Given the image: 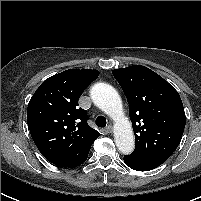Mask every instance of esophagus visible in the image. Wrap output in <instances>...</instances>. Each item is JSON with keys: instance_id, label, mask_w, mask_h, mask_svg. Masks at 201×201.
Masks as SVG:
<instances>
[{"instance_id": "esophagus-1", "label": "esophagus", "mask_w": 201, "mask_h": 201, "mask_svg": "<svg viewBox=\"0 0 201 201\" xmlns=\"http://www.w3.org/2000/svg\"><path fill=\"white\" fill-rule=\"evenodd\" d=\"M105 131H106L107 133H112V131H113L112 125H111V124L108 125V126L105 128Z\"/></svg>"}]
</instances>
